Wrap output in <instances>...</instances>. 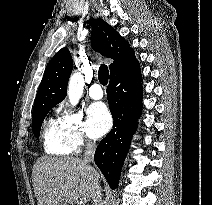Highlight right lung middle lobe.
<instances>
[{
    "label": "right lung middle lobe",
    "instance_id": "obj_1",
    "mask_svg": "<svg viewBox=\"0 0 212 205\" xmlns=\"http://www.w3.org/2000/svg\"><path fill=\"white\" fill-rule=\"evenodd\" d=\"M54 106L55 105H43L33 109L32 130L35 137L39 136L43 120Z\"/></svg>",
    "mask_w": 212,
    "mask_h": 205
}]
</instances>
